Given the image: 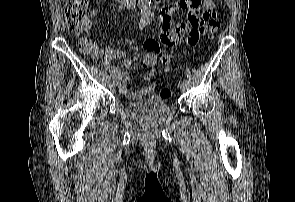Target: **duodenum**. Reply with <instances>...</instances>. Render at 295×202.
<instances>
[{"label": "duodenum", "mask_w": 295, "mask_h": 202, "mask_svg": "<svg viewBox=\"0 0 295 202\" xmlns=\"http://www.w3.org/2000/svg\"><path fill=\"white\" fill-rule=\"evenodd\" d=\"M117 1L127 5L130 8H137L141 2V0H117Z\"/></svg>", "instance_id": "duodenum-1"}]
</instances>
